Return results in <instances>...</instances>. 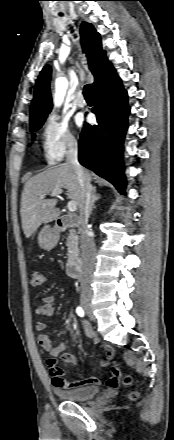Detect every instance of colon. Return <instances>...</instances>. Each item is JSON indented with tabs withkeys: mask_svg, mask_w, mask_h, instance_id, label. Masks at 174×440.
I'll return each instance as SVG.
<instances>
[{
	"mask_svg": "<svg viewBox=\"0 0 174 440\" xmlns=\"http://www.w3.org/2000/svg\"><path fill=\"white\" fill-rule=\"evenodd\" d=\"M45 281V276L44 273L39 270V269H32L30 272V283L32 287H39L41 286ZM121 368V364L119 362H115V365L113 367V369L116 372H119ZM131 382V378L129 376H127L125 378V383L129 384ZM111 385H115L113 382H110ZM139 395L138 391H132L129 394L130 399H136Z\"/></svg>",
	"mask_w": 174,
	"mask_h": 440,
	"instance_id": "colon-1",
	"label": "colon"
}]
</instances>
